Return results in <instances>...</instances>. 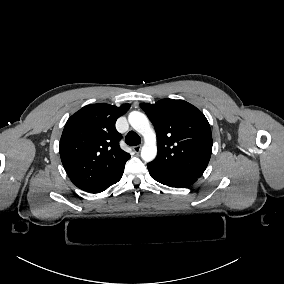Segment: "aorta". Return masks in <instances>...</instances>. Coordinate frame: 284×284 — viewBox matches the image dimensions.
I'll return each instance as SVG.
<instances>
[{
	"mask_svg": "<svg viewBox=\"0 0 284 284\" xmlns=\"http://www.w3.org/2000/svg\"><path fill=\"white\" fill-rule=\"evenodd\" d=\"M128 121L144 137L145 143L141 149L142 159L145 162L152 161L157 155L156 134L148 118L141 112L133 111L129 114Z\"/></svg>",
	"mask_w": 284,
	"mask_h": 284,
	"instance_id": "762f6f07",
	"label": "aorta"
}]
</instances>
